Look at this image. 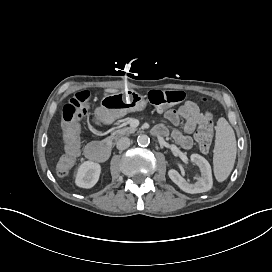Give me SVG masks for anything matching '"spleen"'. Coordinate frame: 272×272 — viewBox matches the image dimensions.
Wrapping results in <instances>:
<instances>
[{"label":"spleen","instance_id":"3e777b00","mask_svg":"<svg viewBox=\"0 0 272 272\" xmlns=\"http://www.w3.org/2000/svg\"><path fill=\"white\" fill-rule=\"evenodd\" d=\"M216 131L214 173L218 181H224L233 169L236 158V140L231 125L223 117L219 118Z\"/></svg>","mask_w":272,"mask_h":272}]
</instances>
